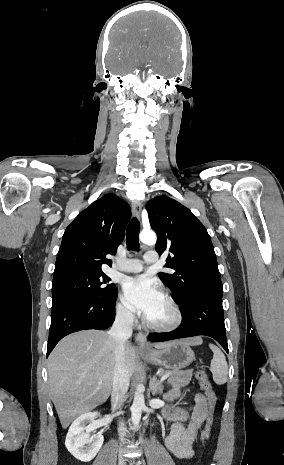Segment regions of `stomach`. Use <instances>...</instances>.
<instances>
[{"label": "stomach", "mask_w": 284, "mask_h": 465, "mask_svg": "<svg viewBox=\"0 0 284 465\" xmlns=\"http://www.w3.org/2000/svg\"><path fill=\"white\" fill-rule=\"evenodd\" d=\"M142 357L153 365L174 369V371L189 367L195 359L194 351L184 341H170L161 351H149V353L146 351Z\"/></svg>", "instance_id": "0dacf381"}]
</instances>
